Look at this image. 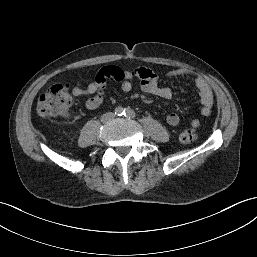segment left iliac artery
Wrapping results in <instances>:
<instances>
[{
  "label": "left iliac artery",
  "instance_id": "left-iliac-artery-1",
  "mask_svg": "<svg viewBox=\"0 0 257 257\" xmlns=\"http://www.w3.org/2000/svg\"><path fill=\"white\" fill-rule=\"evenodd\" d=\"M124 116L129 117V118H134L136 116V113L132 109L127 108L124 111Z\"/></svg>",
  "mask_w": 257,
  "mask_h": 257
}]
</instances>
